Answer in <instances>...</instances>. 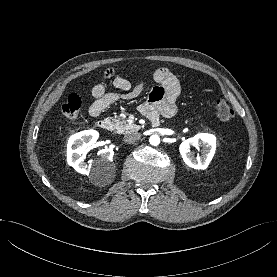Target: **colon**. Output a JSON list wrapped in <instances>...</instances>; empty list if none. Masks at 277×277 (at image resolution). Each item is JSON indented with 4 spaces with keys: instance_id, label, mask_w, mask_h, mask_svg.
Wrapping results in <instances>:
<instances>
[{
    "instance_id": "1",
    "label": "colon",
    "mask_w": 277,
    "mask_h": 277,
    "mask_svg": "<svg viewBox=\"0 0 277 277\" xmlns=\"http://www.w3.org/2000/svg\"><path fill=\"white\" fill-rule=\"evenodd\" d=\"M82 106L81 97L78 94H70L66 102L62 105V114L68 119H76L79 116ZM216 117L223 121H229L233 117V110L223 99H218L214 104Z\"/></svg>"
}]
</instances>
